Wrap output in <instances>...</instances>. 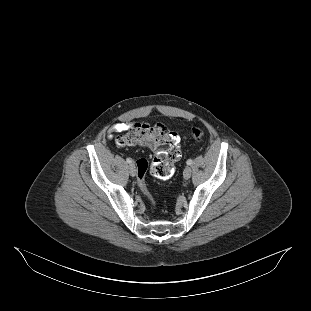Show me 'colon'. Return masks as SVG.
<instances>
[{"label": "colon", "instance_id": "1", "mask_svg": "<svg viewBox=\"0 0 311 311\" xmlns=\"http://www.w3.org/2000/svg\"><path fill=\"white\" fill-rule=\"evenodd\" d=\"M193 140L200 142L204 139L201 128L193 127L190 131ZM120 147L144 146L149 147L155 157L151 163L152 173L159 179L167 180L174 173V162L180 158L177 136L163 124L148 125L138 123L132 125L129 130L117 139ZM138 169V184L143 194L154 205V199L147 190L145 175L149 163L145 158L136 162Z\"/></svg>", "mask_w": 311, "mask_h": 311}]
</instances>
